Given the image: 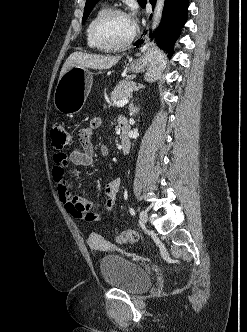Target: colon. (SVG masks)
Returning a JSON list of instances; mask_svg holds the SVG:
<instances>
[{"instance_id": "5ec220e1", "label": "colon", "mask_w": 247, "mask_h": 332, "mask_svg": "<svg viewBox=\"0 0 247 332\" xmlns=\"http://www.w3.org/2000/svg\"><path fill=\"white\" fill-rule=\"evenodd\" d=\"M52 145L55 149L61 150L71 144V136L67 127L61 123H54L50 130ZM139 239V234L135 230H126L117 236L120 243H134Z\"/></svg>"}]
</instances>
